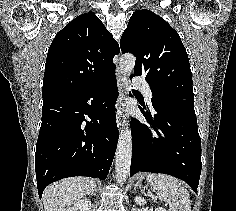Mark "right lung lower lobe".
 Returning <instances> with one entry per match:
<instances>
[{
	"label": "right lung lower lobe",
	"instance_id": "1",
	"mask_svg": "<svg viewBox=\"0 0 236 211\" xmlns=\"http://www.w3.org/2000/svg\"><path fill=\"white\" fill-rule=\"evenodd\" d=\"M117 97L113 73L82 93L43 100L35 154L40 198L47 185L62 178H106L118 141Z\"/></svg>",
	"mask_w": 236,
	"mask_h": 211
}]
</instances>
